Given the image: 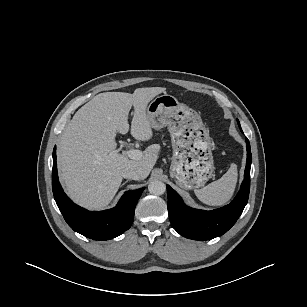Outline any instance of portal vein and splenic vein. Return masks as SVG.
Wrapping results in <instances>:
<instances>
[{"instance_id": "1", "label": "portal vein and splenic vein", "mask_w": 307, "mask_h": 307, "mask_svg": "<svg viewBox=\"0 0 307 307\" xmlns=\"http://www.w3.org/2000/svg\"><path fill=\"white\" fill-rule=\"evenodd\" d=\"M126 155L133 160H140L143 157V153L137 149H130L126 151Z\"/></svg>"}]
</instances>
